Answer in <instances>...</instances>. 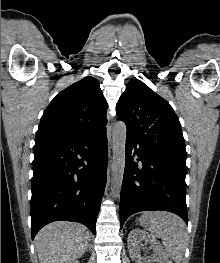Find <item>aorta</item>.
Returning <instances> with one entry per match:
<instances>
[{
  "mask_svg": "<svg viewBox=\"0 0 220 263\" xmlns=\"http://www.w3.org/2000/svg\"><path fill=\"white\" fill-rule=\"evenodd\" d=\"M113 162L111 177V195L118 197L121 191L124 168H125V145L126 125L124 122H117L112 131Z\"/></svg>",
  "mask_w": 220,
  "mask_h": 263,
  "instance_id": "762f6f07",
  "label": "aorta"
}]
</instances>
